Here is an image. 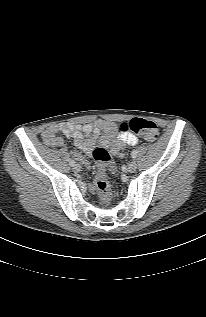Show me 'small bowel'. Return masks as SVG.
Returning <instances> with one entry per match:
<instances>
[{
  "mask_svg": "<svg viewBox=\"0 0 206 317\" xmlns=\"http://www.w3.org/2000/svg\"><path fill=\"white\" fill-rule=\"evenodd\" d=\"M61 132L70 137L75 146L91 155L95 147L108 148L112 155L117 157L123 156V149L126 145H136L138 137L130 132H122L116 134V125L105 120H97L87 124H66L61 126H50L45 129L41 136L43 141L53 147H62L64 140L57 136ZM72 155L78 161L89 167V162L77 151H73ZM95 190L94 187L91 188Z\"/></svg>",
  "mask_w": 206,
  "mask_h": 317,
  "instance_id": "small-bowel-1",
  "label": "small bowel"
}]
</instances>
